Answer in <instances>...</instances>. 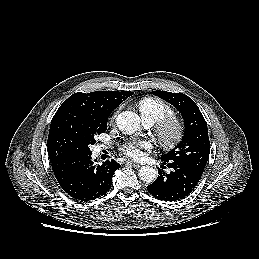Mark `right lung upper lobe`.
I'll return each instance as SVG.
<instances>
[{"label": "right lung upper lobe", "mask_w": 259, "mask_h": 259, "mask_svg": "<svg viewBox=\"0 0 259 259\" xmlns=\"http://www.w3.org/2000/svg\"><path fill=\"white\" fill-rule=\"evenodd\" d=\"M133 92L97 91L91 93H75L66 99L57 112L72 110L89 114L95 118L108 121L111 112Z\"/></svg>", "instance_id": "obj_1"}]
</instances>
